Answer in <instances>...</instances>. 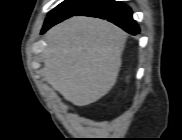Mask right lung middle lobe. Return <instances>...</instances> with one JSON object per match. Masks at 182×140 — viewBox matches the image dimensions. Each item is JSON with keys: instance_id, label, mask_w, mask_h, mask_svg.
<instances>
[{"instance_id": "1", "label": "right lung middle lobe", "mask_w": 182, "mask_h": 140, "mask_svg": "<svg viewBox=\"0 0 182 140\" xmlns=\"http://www.w3.org/2000/svg\"><path fill=\"white\" fill-rule=\"evenodd\" d=\"M95 0H65L62 3H60L57 7H55L53 10H51L45 20L44 27L55 25L84 7L88 6Z\"/></svg>"}]
</instances>
